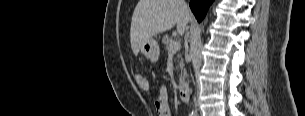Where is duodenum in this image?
<instances>
[{"label": "duodenum", "instance_id": "1", "mask_svg": "<svg viewBox=\"0 0 305 116\" xmlns=\"http://www.w3.org/2000/svg\"><path fill=\"white\" fill-rule=\"evenodd\" d=\"M179 99L183 103H187L189 101V88L186 84H182L178 90Z\"/></svg>", "mask_w": 305, "mask_h": 116}]
</instances>
